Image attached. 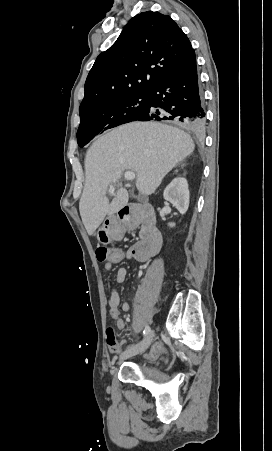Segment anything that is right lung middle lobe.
Returning a JSON list of instances; mask_svg holds the SVG:
<instances>
[{"instance_id":"right-lung-middle-lobe-1","label":"right lung middle lobe","mask_w":272,"mask_h":451,"mask_svg":"<svg viewBox=\"0 0 272 451\" xmlns=\"http://www.w3.org/2000/svg\"><path fill=\"white\" fill-rule=\"evenodd\" d=\"M149 109V95L139 94L109 100L80 113L77 142L85 146L107 129L135 121Z\"/></svg>"}]
</instances>
